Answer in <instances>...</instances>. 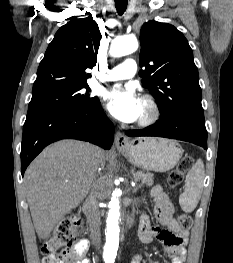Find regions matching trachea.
Instances as JSON below:
<instances>
[{
  "instance_id": "1",
  "label": "trachea",
  "mask_w": 233,
  "mask_h": 263,
  "mask_svg": "<svg viewBox=\"0 0 233 263\" xmlns=\"http://www.w3.org/2000/svg\"><path fill=\"white\" fill-rule=\"evenodd\" d=\"M127 0H115V7L119 15H122L127 8Z\"/></svg>"
}]
</instances>
